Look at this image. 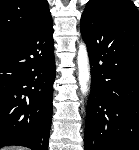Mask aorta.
Returning <instances> with one entry per match:
<instances>
[{
	"label": "aorta",
	"instance_id": "aorta-1",
	"mask_svg": "<svg viewBox=\"0 0 139 150\" xmlns=\"http://www.w3.org/2000/svg\"><path fill=\"white\" fill-rule=\"evenodd\" d=\"M77 64H78V81L80 85V90L83 95H86L89 91V83L91 75H90V64L87 47L84 42H81L79 44Z\"/></svg>",
	"mask_w": 139,
	"mask_h": 150
}]
</instances>
